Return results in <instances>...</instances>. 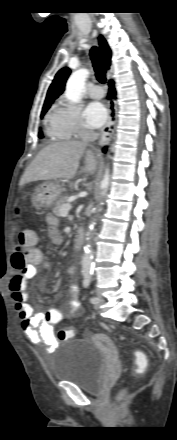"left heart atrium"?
<instances>
[{"mask_svg":"<svg viewBox=\"0 0 177 440\" xmlns=\"http://www.w3.org/2000/svg\"><path fill=\"white\" fill-rule=\"evenodd\" d=\"M84 116L91 127H100L107 119V111L101 103L93 102L86 107Z\"/></svg>","mask_w":177,"mask_h":440,"instance_id":"1","label":"left heart atrium"}]
</instances>
